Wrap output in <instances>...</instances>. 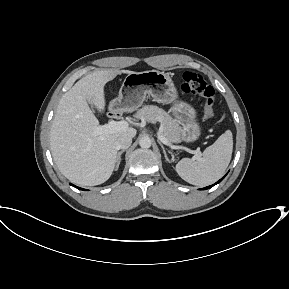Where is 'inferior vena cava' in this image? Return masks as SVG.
Listing matches in <instances>:
<instances>
[{
    "label": "inferior vena cava",
    "mask_w": 289,
    "mask_h": 289,
    "mask_svg": "<svg viewBox=\"0 0 289 289\" xmlns=\"http://www.w3.org/2000/svg\"><path fill=\"white\" fill-rule=\"evenodd\" d=\"M132 143V138L127 135L120 136L117 139L116 145L118 149H127Z\"/></svg>",
    "instance_id": "inferior-vena-cava-1"
}]
</instances>
